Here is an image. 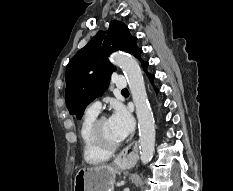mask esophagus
Masks as SVG:
<instances>
[{
    "label": "esophagus",
    "instance_id": "obj_1",
    "mask_svg": "<svg viewBox=\"0 0 233 191\" xmlns=\"http://www.w3.org/2000/svg\"><path fill=\"white\" fill-rule=\"evenodd\" d=\"M136 154H138L137 145L136 143H132L119 153L115 162L126 164L132 163L136 159Z\"/></svg>",
    "mask_w": 233,
    "mask_h": 191
}]
</instances>
